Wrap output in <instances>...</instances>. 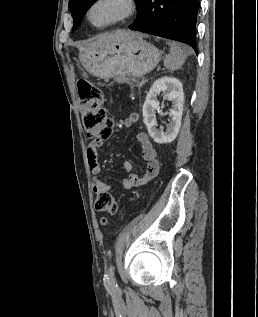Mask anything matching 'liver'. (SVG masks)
<instances>
[{
  "label": "liver",
  "mask_w": 258,
  "mask_h": 317,
  "mask_svg": "<svg viewBox=\"0 0 258 317\" xmlns=\"http://www.w3.org/2000/svg\"><path fill=\"white\" fill-rule=\"evenodd\" d=\"M133 38V32L131 30H115L113 34H100L94 38H90L93 42H87V44H79V46H100L104 42H124V40H131Z\"/></svg>",
  "instance_id": "6515ba94"
}]
</instances>
